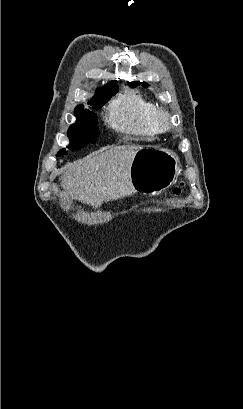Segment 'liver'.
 Listing matches in <instances>:
<instances>
[{
	"label": "liver",
	"instance_id": "1",
	"mask_svg": "<svg viewBox=\"0 0 243 409\" xmlns=\"http://www.w3.org/2000/svg\"><path fill=\"white\" fill-rule=\"evenodd\" d=\"M141 147L122 145L67 163L60 180L74 200L100 206L134 193L130 167Z\"/></svg>",
	"mask_w": 243,
	"mask_h": 409
}]
</instances>
